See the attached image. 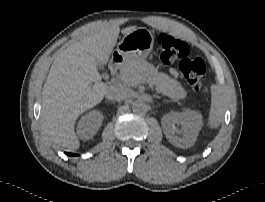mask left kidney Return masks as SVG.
I'll return each instance as SVG.
<instances>
[{"label": "left kidney", "instance_id": "left-kidney-1", "mask_svg": "<svg viewBox=\"0 0 265 202\" xmlns=\"http://www.w3.org/2000/svg\"><path fill=\"white\" fill-rule=\"evenodd\" d=\"M168 141L179 148L194 145L202 126V115L197 111L170 112L161 119ZM181 126L179 129L177 126Z\"/></svg>", "mask_w": 265, "mask_h": 202}]
</instances>
